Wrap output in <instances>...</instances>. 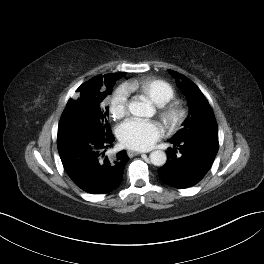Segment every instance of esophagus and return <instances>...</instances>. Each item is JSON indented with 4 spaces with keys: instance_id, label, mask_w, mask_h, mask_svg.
Returning <instances> with one entry per match:
<instances>
[{
    "instance_id": "obj_1",
    "label": "esophagus",
    "mask_w": 264,
    "mask_h": 264,
    "mask_svg": "<svg viewBox=\"0 0 264 264\" xmlns=\"http://www.w3.org/2000/svg\"><path fill=\"white\" fill-rule=\"evenodd\" d=\"M141 153L142 152H140V151H132V150L127 151V154L129 157H133V156L139 155Z\"/></svg>"
}]
</instances>
